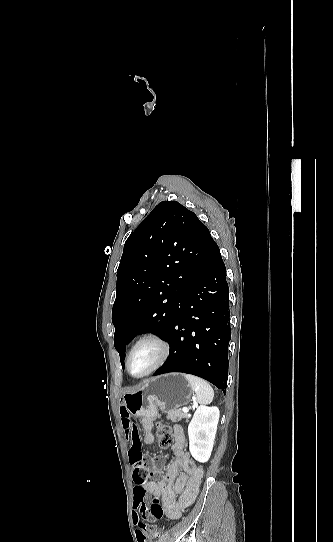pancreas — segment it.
I'll return each instance as SVG.
<instances>
[{
    "label": "pancreas",
    "mask_w": 333,
    "mask_h": 542,
    "mask_svg": "<svg viewBox=\"0 0 333 542\" xmlns=\"http://www.w3.org/2000/svg\"><path fill=\"white\" fill-rule=\"evenodd\" d=\"M166 414L167 420H172V422H180L182 418H187V420H189L188 414H185L182 410H169Z\"/></svg>",
    "instance_id": "pancreas-1"
}]
</instances>
